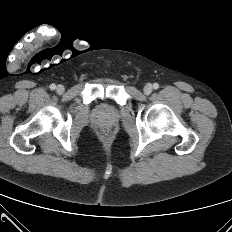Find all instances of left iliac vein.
Segmentation results:
<instances>
[{
  "label": "left iliac vein",
  "instance_id": "1",
  "mask_svg": "<svg viewBox=\"0 0 232 232\" xmlns=\"http://www.w3.org/2000/svg\"><path fill=\"white\" fill-rule=\"evenodd\" d=\"M152 90H153V87H152V85L149 84V83L146 84V85L144 86V88H143V91H144V93H145L146 95L151 94Z\"/></svg>",
  "mask_w": 232,
  "mask_h": 232
}]
</instances>
